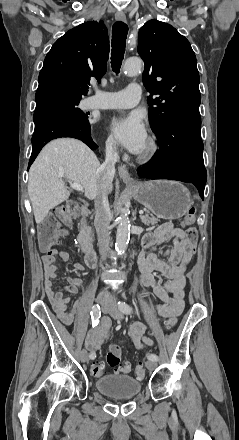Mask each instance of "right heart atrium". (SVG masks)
Returning <instances> with one entry per match:
<instances>
[{"label": "right heart atrium", "mask_w": 239, "mask_h": 440, "mask_svg": "<svg viewBox=\"0 0 239 440\" xmlns=\"http://www.w3.org/2000/svg\"><path fill=\"white\" fill-rule=\"evenodd\" d=\"M108 149L112 150V145L111 144H108Z\"/></svg>", "instance_id": "d8ad5b80"}]
</instances>
